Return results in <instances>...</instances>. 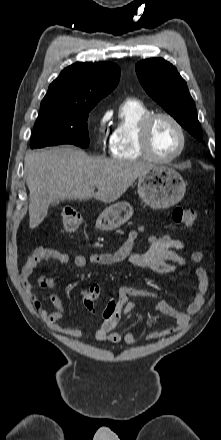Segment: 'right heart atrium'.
I'll list each match as a JSON object with an SVG mask.
<instances>
[{"label": "right heart atrium", "mask_w": 221, "mask_h": 440, "mask_svg": "<svg viewBox=\"0 0 221 440\" xmlns=\"http://www.w3.org/2000/svg\"><path fill=\"white\" fill-rule=\"evenodd\" d=\"M111 113L109 111L104 112L98 121V129L101 134V141L106 144L108 141L107 123L110 120Z\"/></svg>", "instance_id": "d8ad5b80"}]
</instances>
